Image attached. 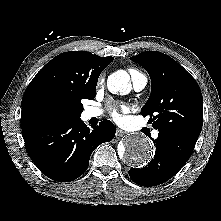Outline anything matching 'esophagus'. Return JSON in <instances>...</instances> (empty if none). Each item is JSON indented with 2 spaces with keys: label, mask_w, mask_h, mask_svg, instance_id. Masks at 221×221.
Here are the masks:
<instances>
[{
  "label": "esophagus",
  "mask_w": 221,
  "mask_h": 221,
  "mask_svg": "<svg viewBox=\"0 0 221 221\" xmlns=\"http://www.w3.org/2000/svg\"><path fill=\"white\" fill-rule=\"evenodd\" d=\"M126 134V132H124L123 130L121 129H117L116 130V137H122Z\"/></svg>",
  "instance_id": "34e87169"
}]
</instances>
